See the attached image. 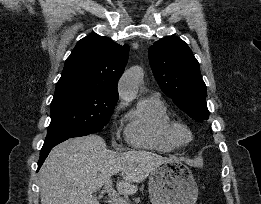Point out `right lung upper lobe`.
<instances>
[{
	"label": "right lung upper lobe",
	"instance_id": "cb5924a9",
	"mask_svg": "<svg viewBox=\"0 0 261 204\" xmlns=\"http://www.w3.org/2000/svg\"><path fill=\"white\" fill-rule=\"evenodd\" d=\"M128 45L91 34L80 41L67 58L55 95L86 90L118 99L117 82L128 60Z\"/></svg>",
	"mask_w": 261,
	"mask_h": 204
}]
</instances>
